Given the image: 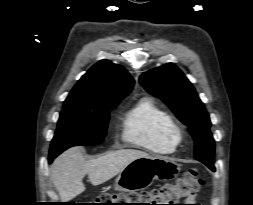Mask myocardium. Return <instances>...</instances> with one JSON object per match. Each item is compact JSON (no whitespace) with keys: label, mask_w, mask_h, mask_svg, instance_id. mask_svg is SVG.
I'll return each instance as SVG.
<instances>
[{"label":"myocardium","mask_w":253,"mask_h":205,"mask_svg":"<svg viewBox=\"0 0 253 205\" xmlns=\"http://www.w3.org/2000/svg\"><path fill=\"white\" fill-rule=\"evenodd\" d=\"M170 136L176 141L180 142L183 137V131L182 129L177 125L174 124L170 129Z\"/></svg>","instance_id":"obj_1"}]
</instances>
